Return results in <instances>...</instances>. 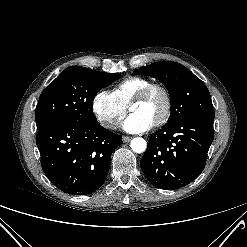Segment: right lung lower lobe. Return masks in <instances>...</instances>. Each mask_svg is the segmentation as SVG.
Wrapping results in <instances>:
<instances>
[{"mask_svg":"<svg viewBox=\"0 0 247 247\" xmlns=\"http://www.w3.org/2000/svg\"><path fill=\"white\" fill-rule=\"evenodd\" d=\"M36 143L50 181L65 193L87 195L104 183L122 137L98 121L63 120L38 127Z\"/></svg>","mask_w":247,"mask_h":247,"instance_id":"98d812e1","label":"right lung lower lobe"}]
</instances>
